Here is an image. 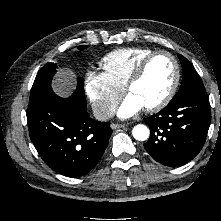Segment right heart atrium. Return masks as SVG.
<instances>
[{"label":"right heart atrium","mask_w":221,"mask_h":221,"mask_svg":"<svg viewBox=\"0 0 221 221\" xmlns=\"http://www.w3.org/2000/svg\"><path fill=\"white\" fill-rule=\"evenodd\" d=\"M84 84L86 95L97 117H108L120 100L123 88L116 85L104 72H87Z\"/></svg>","instance_id":"obj_1"}]
</instances>
